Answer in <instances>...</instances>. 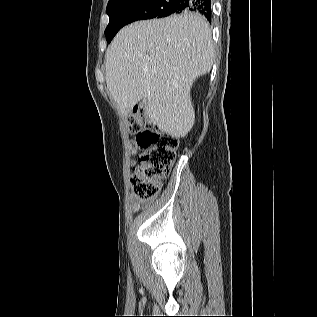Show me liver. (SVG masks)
Returning <instances> with one entry per match:
<instances>
[{"label":"liver","mask_w":317,"mask_h":317,"mask_svg":"<svg viewBox=\"0 0 317 317\" xmlns=\"http://www.w3.org/2000/svg\"><path fill=\"white\" fill-rule=\"evenodd\" d=\"M105 58L107 88L122 115L142 101L144 115L161 131L188 134L195 120L192 85L214 62L205 18L187 13L132 23L117 33Z\"/></svg>","instance_id":"liver-1"}]
</instances>
